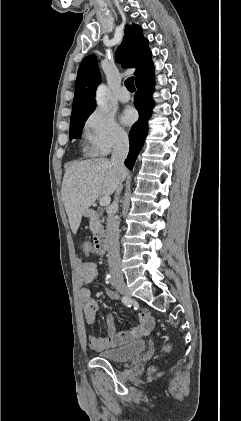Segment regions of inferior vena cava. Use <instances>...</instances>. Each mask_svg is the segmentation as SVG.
Segmentation results:
<instances>
[{
    "label": "inferior vena cava",
    "mask_w": 241,
    "mask_h": 421,
    "mask_svg": "<svg viewBox=\"0 0 241 421\" xmlns=\"http://www.w3.org/2000/svg\"><path fill=\"white\" fill-rule=\"evenodd\" d=\"M129 152V140L127 136H120L115 144L112 151L111 163L119 171L125 170L124 161ZM122 181L118 185L116 190L115 201L113 202L110 213L107 217L106 222V240H107V257L110 272L112 277L122 278V271L120 266V247H119V223L115 217L118 210V195L122 190Z\"/></svg>",
    "instance_id": "obj_1"
}]
</instances>
